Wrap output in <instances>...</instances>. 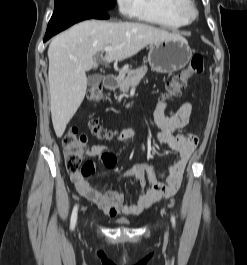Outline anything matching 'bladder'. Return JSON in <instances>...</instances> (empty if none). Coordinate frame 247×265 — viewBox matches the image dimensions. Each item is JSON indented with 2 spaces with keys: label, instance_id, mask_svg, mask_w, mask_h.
<instances>
[{
  "label": "bladder",
  "instance_id": "bladder-1",
  "mask_svg": "<svg viewBox=\"0 0 247 265\" xmlns=\"http://www.w3.org/2000/svg\"><path fill=\"white\" fill-rule=\"evenodd\" d=\"M117 224L121 226H127L131 224V221L129 219H120L117 221Z\"/></svg>",
  "mask_w": 247,
  "mask_h": 265
}]
</instances>
